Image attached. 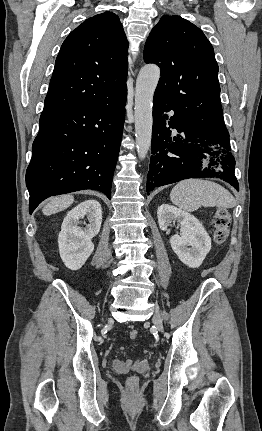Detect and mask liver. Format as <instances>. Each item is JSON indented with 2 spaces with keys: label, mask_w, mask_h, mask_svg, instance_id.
I'll return each instance as SVG.
<instances>
[{
  "label": "liver",
  "mask_w": 262,
  "mask_h": 431,
  "mask_svg": "<svg viewBox=\"0 0 262 431\" xmlns=\"http://www.w3.org/2000/svg\"><path fill=\"white\" fill-rule=\"evenodd\" d=\"M74 202L72 195H62L51 199L42 209L44 215L49 216L68 208Z\"/></svg>",
  "instance_id": "liver-1"
}]
</instances>
